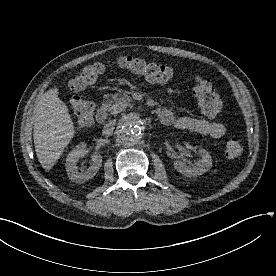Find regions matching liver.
Returning a JSON list of instances; mask_svg holds the SVG:
<instances>
[{
	"mask_svg": "<svg viewBox=\"0 0 276 276\" xmlns=\"http://www.w3.org/2000/svg\"><path fill=\"white\" fill-rule=\"evenodd\" d=\"M58 94V88L49 89L40 97L33 112L35 151L46 171L57 163L75 134L68 107Z\"/></svg>",
	"mask_w": 276,
	"mask_h": 276,
	"instance_id": "1",
	"label": "liver"
}]
</instances>
